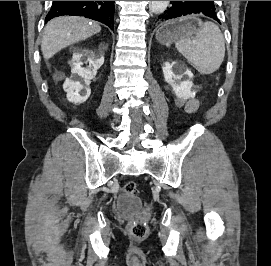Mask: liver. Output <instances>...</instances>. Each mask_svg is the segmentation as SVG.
I'll return each mask as SVG.
<instances>
[{"label": "liver", "instance_id": "6515ba94", "mask_svg": "<svg viewBox=\"0 0 271 266\" xmlns=\"http://www.w3.org/2000/svg\"><path fill=\"white\" fill-rule=\"evenodd\" d=\"M101 31L98 23L83 17L63 16L52 19L46 25L41 51L48 60L61 49L85 40Z\"/></svg>", "mask_w": 271, "mask_h": 266}]
</instances>
